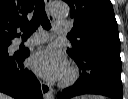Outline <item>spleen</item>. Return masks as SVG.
I'll list each match as a JSON object with an SVG mask.
<instances>
[{"mask_svg":"<svg viewBox=\"0 0 128 99\" xmlns=\"http://www.w3.org/2000/svg\"><path fill=\"white\" fill-rule=\"evenodd\" d=\"M87 99H98L99 97L98 96H88L86 97Z\"/></svg>","mask_w":128,"mask_h":99,"instance_id":"spleen-1","label":"spleen"}]
</instances>
